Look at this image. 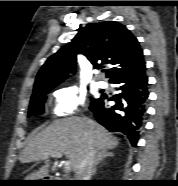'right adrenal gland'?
I'll list each match as a JSON object with an SVG mask.
<instances>
[{
    "label": "right adrenal gland",
    "mask_w": 178,
    "mask_h": 186,
    "mask_svg": "<svg viewBox=\"0 0 178 186\" xmlns=\"http://www.w3.org/2000/svg\"><path fill=\"white\" fill-rule=\"evenodd\" d=\"M113 156H114L113 153L108 152V151H101L100 153H98L97 154V157H96V160H95L94 167H93V173H92V175H95L96 170H97V166L100 163H104L106 159H108L110 157H113Z\"/></svg>",
    "instance_id": "2a0ac1e0"
}]
</instances>
